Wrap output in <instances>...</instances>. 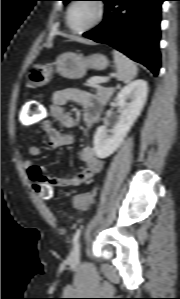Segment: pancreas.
<instances>
[{
    "mask_svg": "<svg viewBox=\"0 0 180 299\" xmlns=\"http://www.w3.org/2000/svg\"><path fill=\"white\" fill-rule=\"evenodd\" d=\"M106 78H101L100 81L104 82ZM113 90L110 88H105L102 86L97 87V94L96 97L100 102H107L112 95Z\"/></svg>",
    "mask_w": 180,
    "mask_h": 299,
    "instance_id": "cf45deb5",
    "label": "pancreas"
}]
</instances>
